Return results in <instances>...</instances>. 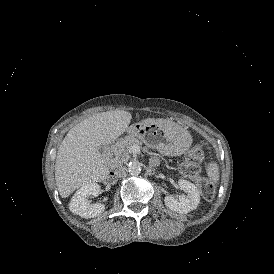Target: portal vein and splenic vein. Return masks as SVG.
I'll list each match as a JSON object with an SVG mask.
<instances>
[{
  "label": "portal vein and splenic vein",
  "instance_id": "obj_1",
  "mask_svg": "<svg viewBox=\"0 0 274 274\" xmlns=\"http://www.w3.org/2000/svg\"><path fill=\"white\" fill-rule=\"evenodd\" d=\"M135 149L139 151V147L138 146H136Z\"/></svg>",
  "mask_w": 274,
  "mask_h": 274
}]
</instances>
